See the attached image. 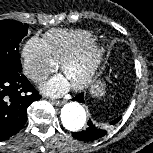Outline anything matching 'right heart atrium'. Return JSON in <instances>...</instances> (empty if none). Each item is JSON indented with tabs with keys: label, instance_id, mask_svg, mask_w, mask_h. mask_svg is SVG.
<instances>
[{
	"label": "right heart atrium",
	"instance_id": "obj_1",
	"mask_svg": "<svg viewBox=\"0 0 153 153\" xmlns=\"http://www.w3.org/2000/svg\"><path fill=\"white\" fill-rule=\"evenodd\" d=\"M21 56L26 75L36 83L45 80L58 67L44 39L36 36L25 42Z\"/></svg>",
	"mask_w": 153,
	"mask_h": 153
}]
</instances>
